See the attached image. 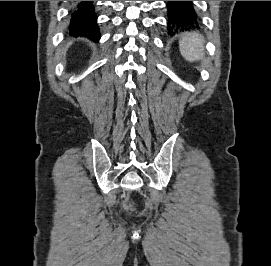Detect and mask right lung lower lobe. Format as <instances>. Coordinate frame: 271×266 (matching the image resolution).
Segmentation results:
<instances>
[{"instance_id": "right-lung-lower-lobe-1", "label": "right lung lower lobe", "mask_w": 271, "mask_h": 266, "mask_svg": "<svg viewBox=\"0 0 271 266\" xmlns=\"http://www.w3.org/2000/svg\"><path fill=\"white\" fill-rule=\"evenodd\" d=\"M69 32L74 36L88 37L97 41L100 33L92 1H79L71 14Z\"/></svg>"}]
</instances>
